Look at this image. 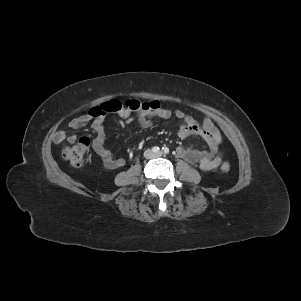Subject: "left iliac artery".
<instances>
[{
    "label": "left iliac artery",
    "instance_id": "44dca946",
    "mask_svg": "<svg viewBox=\"0 0 301 301\" xmlns=\"http://www.w3.org/2000/svg\"><path fill=\"white\" fill-rule=\"evenodd\" d=\"M162 150H163V152H164L165 154H168V153H169V148H168V147H163Z\"/></svg>",
    "mask_w": 301,
    "mask_h": 301
}]
</instances>
